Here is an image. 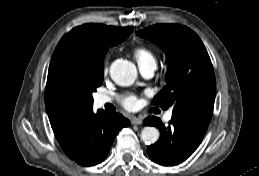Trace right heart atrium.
I'll return each mask as SVG.
<instances>
[{
    "mask_svg": "<svg viewBox=\"0 0 259 176\" xmlns=\"http://www.w3.org/2000/svg\"><path fill=\"white\" fill-rule=\"evenodd\" d=\"M109 69V64L106 62L104 65V73H107Z\"/></svg>",
    "mask_w": 259,
    "mask_h": 176,
    "instance_id": "1",
    "label": "right heart atrium"
}]
</instances>
